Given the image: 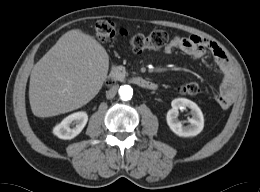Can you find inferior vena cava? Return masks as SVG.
I'll return each mask as SVG.
<instances>
[{
  "label": "inferior vena cava",
  "mask_w": 260,
  "mask_h": 192,
  "mask_svg": "<svg viewBox=\"0 0 260 192\" xmlns=\"http://www.w3.org/2000/svg\"><path fill=\"white\" fill-rule=\"evenodd\" d=\"M116 89L115 88H111L106 92V97L107 99H112L114 98V96L116 95Z\"/></svg>",
  "instance_id": "obj_1"
}]
</instances>
